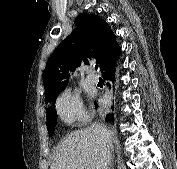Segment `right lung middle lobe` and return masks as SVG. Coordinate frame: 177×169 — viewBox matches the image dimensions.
<instances>
[{
  "instance_id": "dd1d6c3e",
  "label": "right lung middle lobe",
  "mask_w": 177,
  "mask_h": 169,
  "mask_svg": "<svg viewBox=\"0 0 177 169\" xmlns=\"http://www.w3.org/2000/svg\"><path fill=\"white\" fill-rule=\"evenodd\" d=\"M48 102V101H46ZM52 102H55V100H52ZM46 116H47V126H48V132L49 135H52L54 133V129L56 127V116L52 112V110L48 109L46 111Z\"/></svg>"
}]
</instances>
